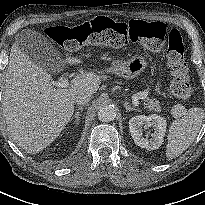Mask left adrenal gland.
<instances>
[{
    "label": "left adrenal gland",
    "mask_w": 205,
    "mask_h": 205,
    "mask_svg": "<svg viewBox=\"0 0 205 205\" xmlns=\"http://www.w3.org/2000/svg\"><path fill=\"white\" fill-rule=\"evenodd\" d=\"M124 107L126 108V112H130V111H140V110L137 109V108H132V107L128 104V102H125V103H124Z\"/></svg>",
    "instance_id": "obj_1"
}]
</instances>
